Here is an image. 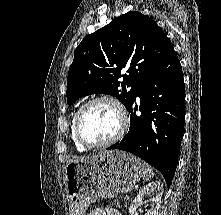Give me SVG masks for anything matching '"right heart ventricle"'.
<instances>
[{"instance_id":"right-heart-ventricle-1","label":"right heart ventricle","mask_w":221,"mask_h":215,"mask_svg":"<svg viewBox=\"0 0 221 215\" xmlns=\"http://www.w3.org/2000/svg\"><path fill=\"white\" fill-rule=\"evenodd\" d=\"M75 114L72 116V120H71V126H70V135H71V139L73 141V144L75 146V148L80 151V152H83V151H86L88 148L82 146L81 144H79L75 138V135H74V128H73V125H74V118H75Z\"/></svg>"}]
</instances>
